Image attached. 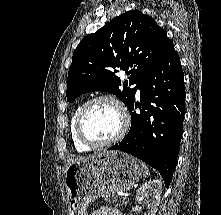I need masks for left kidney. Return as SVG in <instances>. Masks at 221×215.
<instances>
[{"label":"left kidney","mask_w":221,"mask_h":215,"mask_svg":"<svg viewBox=\"0 0 221 215\" xmlns=\"http://www.w3.org/2000/svg\"><path fill=\"white\" fill-rule=\"evenodd\" d=\"M162 193V182L158 179L150 180L137 190L135 204L139 203L144 197L151 196L147 203V211L144 215H156Z\"/></svg>","instance_id":"left-kidney-1"}]
</instances>
